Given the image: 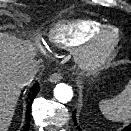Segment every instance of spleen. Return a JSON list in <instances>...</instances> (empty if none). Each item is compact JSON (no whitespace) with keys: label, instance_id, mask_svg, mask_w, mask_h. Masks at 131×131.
<instances>
[{"label":"spleen","instance_id":"1","mask_svg":"<svg viewBox=\"0 0 131 131\" xmlns=\"http://www.w3.org/2000/svg\"><path fill=\"white\" fill-rule=\"evenodd\" d=\"M102 114L112 121H125L131 118V80L120 94L99 103Z\"/></svg>","mask_w":131,"mask_h":131}]
</instances>
